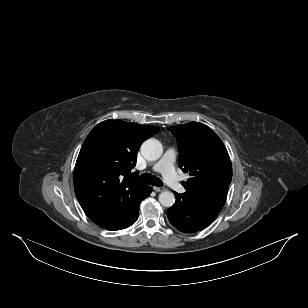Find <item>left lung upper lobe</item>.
<instances>
[{"label":"left lung upper lobe","instance_id":"5c2ea615","mask_svg":"<svg viewBox=\"0 0 308 308\" xmlns=\"http://www.w3.org/2000/svg\"><path fill=\"white\" fill-rule=\"evenodd\" d=\"M179 148V166L191 178L184 195L195 197L208 191L228 187L232 180V164L221 139L208 126L189 122L172 126Z\"/></svg>","mask_w":308,"mask_h":308}]
</instances>
